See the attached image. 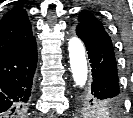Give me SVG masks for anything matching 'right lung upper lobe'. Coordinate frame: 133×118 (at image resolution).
Instances as JSON below:
<instances>
[{
  "instance_id": "cb5924a9",
  "label": "right lung upper lobe",
  "mask_w": 133,
  "mask_h": 118,
  "mask_svg": "<svg viewBox=\"0 0 133 118\" xmlns=\"http://www.w3.org/2000/svg\"><path fill=\"white\" fill-rule=\"evenodd\" d=\"M31 24L21 5L8 11L0 20V56L24 45L31 39Z\"/></svg>"
}]
</instances>
